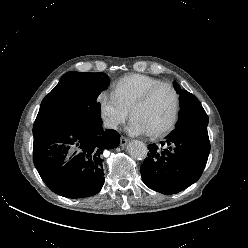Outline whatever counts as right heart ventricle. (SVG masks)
Listing matches in <instances>:
<instances>
[{"mask_svg":"<svg viewBox=\"0 0 248 248\" xmlns=\"http://www.w3.org/2000/svg\"><path fill=\"white\" fill-rule=\"evenodd\" d=\"M162 83L159 79L143 75L130 74L121 78L114 86L113 94L119 103L131 111L134 104L151 87Z\"/></svg>","mask_w":248,"mask_h":248,"instance_id":"1","label":"right heart ventricle"}]
</instances>
